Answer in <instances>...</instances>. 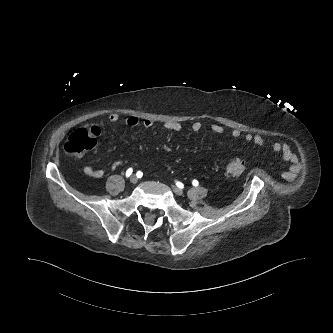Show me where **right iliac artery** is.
Instances as JSON below:
<instances>
[{
	"mask_svg": "<svg viewBox=\"0 0 333 333\" xmlns=\"http://www.w3.org/2000/svg\"><path fill=\"white\" fill-rule=\"evenodd\" d=\"M132 171H133V169H132V168H129V169L126 171V177H129V176L132 174Z\"/></svg>",
	"mask_w": 333,
	"mask_h": 333,
	"instance_id": "82829eb1",
	"label": "right iliac artery"
}]
</instances>
